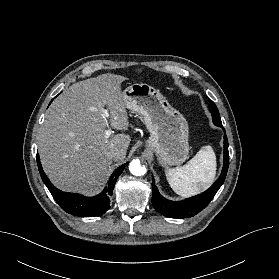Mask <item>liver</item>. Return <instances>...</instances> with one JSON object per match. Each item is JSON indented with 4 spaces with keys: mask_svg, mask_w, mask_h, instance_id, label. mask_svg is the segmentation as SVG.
<instances>
[{
    "mask_svg": "<svg viewBox=\"0 0 279 279\" xmlns=\"http://www.w3.org/2000/svg\"><path fill=\"white\" fill-rule=\"evenodd\" d=\"M126 77L102 74L71 85L49 107L37 144L44 172L59 189L85 195L98 193L112 158L123 161L131 138L127 134L105 137L107 125L127 130L129 119L121 84ZM107 107L109 119L102 109Z\"/></svg>",
    "mask_w": 279,
    "mask_h": 279,
    "instance_id": "6515ba94",
    "label": "liver"
}]
</instances>
